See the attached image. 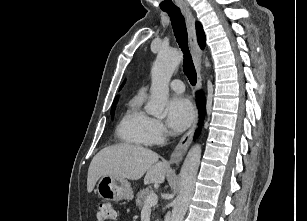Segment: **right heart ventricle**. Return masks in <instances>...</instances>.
I'll return each mask as SVG.
<instances>
[{"instance_id": "obj_1", "label": "right heart ventricle", "mask_w": 307, "mask_h": 221, "mask_svg": "<svg viewBox=\"0 0 307 221\" xmlns=\"http://www.w3.org/2000/svg\"><path fill=\"white\" fill-rule=\"evenodd\" d=\"M150 117L142 109V99L134 97L116 128L119 141L133 146L152 144L150 137Z\"/></svg>"}]
</instances>
